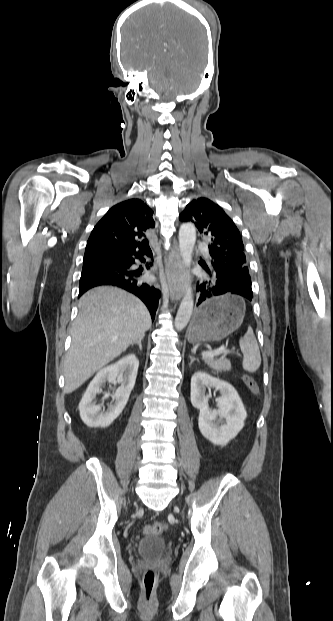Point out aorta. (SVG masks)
I'll list each match as a JSON object with an SVG mask.
<instances>
[{
    "label": "aorta",
    "mask_w": 333,
    "mask_h": 621,
    "mask_svg": "<svg viewBox=\"0 0 333 621\" xmlns=\"http://www.w3.org/2000/svg\"><path fill=\"white\" fill-rule=\"evenodd\" d=\"M196 242V229L192 223H185L179 229V248L185 267H190L193 249ZM189 279V272L186 273ZM194 299L190 285L186 288V293L180 303L175 318L176 330H183L188 324L193 312Z\"/></svg>",
    "instance_id": "1"
}]
</instances>
